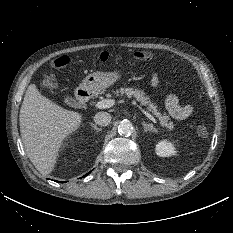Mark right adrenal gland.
<instances>
[{
    "label": "right adrenal gland",
    "instance_id": "right-adrenal-gland-1",
    "mask_svg": "<svg viewBox=\"0 0 233 233\" xmlns=\"http://www.w3.org/2000/svg\"><path fill=\"white\" fill-rule=\"evenodd\" d=\"M90 126L96 130V132H100L102 130V128H98L96 124L90 123Z\"/></svg>",
    "mask_w": 233,
    "mask_h": 233
}]
</instances>
